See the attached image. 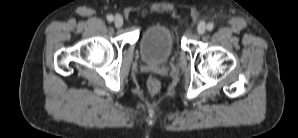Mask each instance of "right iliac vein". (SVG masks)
I'll return each mask as SVG.
<instances>
[{"label":"right iliac vein","instance_id":"right-iliac-vein-1","mask_svg":"<svg viewBox=\"0 0 298 138\" xmlns=\"http://www.w3.org/2000/svg\"><path fill=\"white\" fill-rule=\"evenodd\" d=\"M114 25L117 28H120L123 25V18L120 15H116L114 18Z\"/></svg>","mask_w":298,"mask_h":138}]
</instances>
